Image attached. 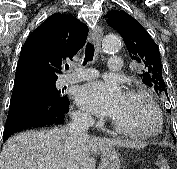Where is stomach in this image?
<instances>
[{
    "instance_id": "stomach-1",
    "label": "stomach",
    "mask_w": 177,
    "mask_h": 169,
    "mask_svg": "<svg viewBox=\"0 0 177 169\" xmlns=\"http://www.w3.org/2000/svg\"><path fill=\"white\" fill-rule=\"evenodd\" d=\"M120 154L114 147H108L101 152L100 169H120Z\"/></svg>"
}]
</instances>
